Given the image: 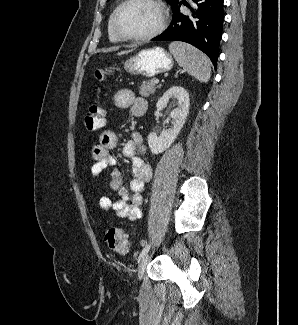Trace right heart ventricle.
Listing matches in <instances>:
<instances>
[{"instance_id":"obj_1","label":"right heart ventricle","mask_w":298,"mask_h":325,"mask_svg":"<svg viewBox=\"0 0 298 325\" xmlns=\"http://www.w3.org/2000/svg\"><path fill=\"white\" fill-rule=\"evenodd\" d=\"M115 10H116V8L111 12V14L109 16L108 23H107V34H108V39L111 43L120 44L121 42L114 35V33L112 31V27H111V21H112V17H113Z\"/></svg>"}]
</instances>
